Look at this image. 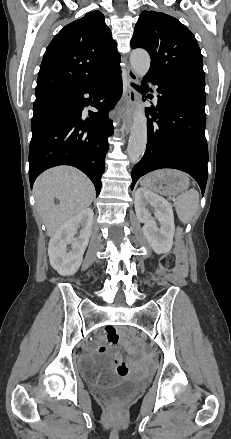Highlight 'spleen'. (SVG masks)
Returning a JSON list of instances; mask_svg holds the SVG:
<instances>
[{
  "label": "spleen",
  "mask_w": 231,
  "mask_h": 439,
  "mask_svg": "<svg viewBox=\"0 0 231 439\" xmlns=\"http://www.w3.org/2000/svg\"><path fill=\"white\" fill-rule=\"evenodd\" d=\"M199 193L190 189L176 198L175 209L178 218L183 223H189L198 210Z\"/></svg>",
  "instance_id": "3e777b00"
}]
</instances>
